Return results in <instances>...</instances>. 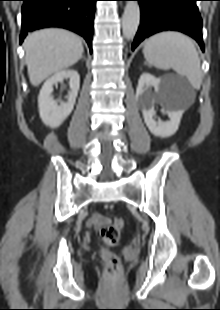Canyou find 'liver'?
Here are the masks:
<instances>
[{
  "label": "liver",
  "instance_id": "liver-1",
  "mask_svg": "<svg viewBox=\"0 0 220 310\" xmlns=\"http://www.w3.org/2000/svg\"><path fill=\"white\" fill-rule=\"evenodd\" d=\"M28 76L38 86L52 74L77 63L83 54L80 37L64 29H43L24 41Z\"/></svg>",
  "mask_w": 220,
  "mask_h": 310
}]
</instances>
